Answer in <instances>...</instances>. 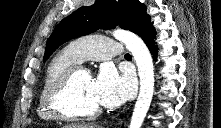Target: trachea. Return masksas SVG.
I'll use <instances>...</instances> for the list:
<instances>
[{"mask_svg": "<svg viewBox=\"0 0 221 128\" xmlns=\"http://www.w3.org/2000/svg\"><path fill=\"white\" fill-rule=\"evenodd\" d=\"M125 57L127 58V57H131V55L130 54H125Z\"/></svg>", "mask_w": 221, "mask_h": 128, "instance_id": "1", "label": "trachea"}]
</instances>
